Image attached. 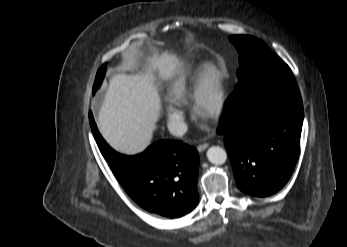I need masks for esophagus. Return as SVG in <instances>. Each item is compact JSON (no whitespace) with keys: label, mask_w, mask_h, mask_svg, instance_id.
<instances>
[{"label":"esophagus","mask_w":347,"mask_h":247,"mask_svg":"<svg viewBox=\"0 0 347 247\" xmlns=\"http://www.w3.org/2000/svg\"><path fill=\"white\" fill-rule=\"evenodd\" d=\"M208 146H209L208 143L200 144V145L197 146V150H198L199 152H203Z\"/></svg>","instance_id":"esophagus-1"}]
</instances>
